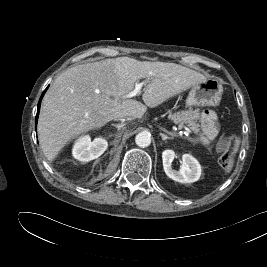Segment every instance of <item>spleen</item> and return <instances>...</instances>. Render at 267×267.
Instances as JSON below:
<instances>
[{
    "mask_svg": "<svg viewBox=\"0 0 267 267\" xmlns=\"http://www.w3.org/2000/svg\"><path fill=\"white\" fill-rule=\"evenodd\" d=\"M239 145H240V138H236L235 146L233 148V153H232L233 155H235L239 150ZM232 167H233V160H230L225 167V173L229 174L232 170Z\"/></svg>",
    "mask_w": 267,
    "mask_h": 267,
    "instance_id": "spleen-1",
    "label": "spleen"
}]
</instances>
